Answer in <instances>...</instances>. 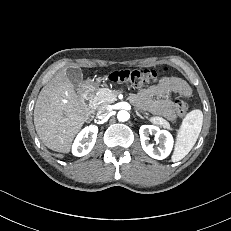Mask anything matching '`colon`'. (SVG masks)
I'll return each instance as SVG.
<instances>
[{"label": "colon", "instance_id": "5ec220e1", "mask_svg": "<svg viewBox=\"0 0 231 231\" xmlns=\"http://www.w3.org/2000/svg\"><path fill=\"white\" fill-rule=\"evenodd\" d=\"M166 71V68L159 70L142 68L124 69L112 72L110 79L114 82L126 83L135 88H141L156 79L160 73ZM175 110L178 116L184 117L188 110L187 104L182 100H178L175 103Z\"/></svg>", "mask_w": 231, "mask_h": 231}]
</instances>
